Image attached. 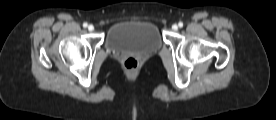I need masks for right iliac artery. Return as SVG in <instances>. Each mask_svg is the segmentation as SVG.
<instances>
[{"label": "right iliac artery", "mask_w": 276, "mask_h": 120, "mask_svg": "<svg viewBox=\"0 0 276 120\" xmlns=\"http://www.w3.org/2000/svg\"><path fill=\"white\" fill-rule=\"evenodd\" d=\"M88 26V24L85 22L83 23V27L86 28Z\"/></svg>", "instance_id": "obj_1"}]
</instances>
